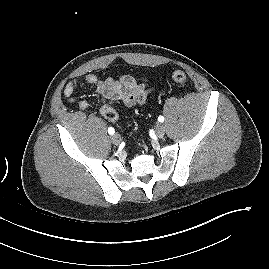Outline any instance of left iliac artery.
I'll return each instance as SVG.
<instances>
[{"mask_svg":"<svg viewBox=\"0 0 269 269\" xmlns=\"http://www.w3.org/2000/svg\"><path fill=\"white\" fill-rule=\"evenodd\" d=\"M158 121H159V122H163V121H164V117H163V116H159V117H158Z\"/></svg>","mask_w":269,"mask_h":269,"instance_id":"44dca946","label":"left iliac artery"}]
</instances>
